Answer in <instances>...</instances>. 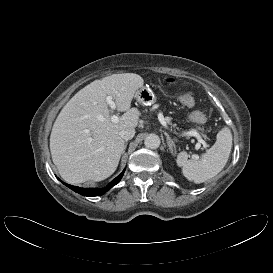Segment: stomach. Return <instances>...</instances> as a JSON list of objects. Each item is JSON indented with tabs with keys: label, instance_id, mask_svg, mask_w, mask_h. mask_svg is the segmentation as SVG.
Masks as SVG:
<instances>
[{
	"label": "stomach",
	"instance_id": "0dacf381",
	"mask_svg": "<svg viewBox=\"0 0 273 273\" xmlns=\"http://www.w3.org/2000/svg\"><path fill=\"white\" fill-rule=\"evenodd\" d=\"M135 98L143 106H150L156 101L153 91L147 87H141L135 93Z\"/></svg>",
	"mask_w": 273,
	"mask_h": 273
}]
</instances>
